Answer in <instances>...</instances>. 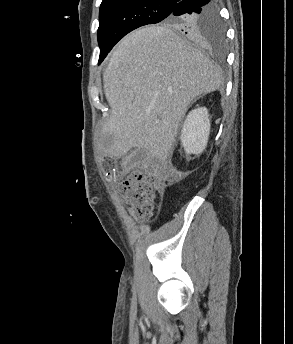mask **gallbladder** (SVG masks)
Listing matches in <instances>:
<instances>
[{
	"label": "gallbladder",
	"mask_w": 293,
	"mask_h": 344,
	"mask_svg": "<svg viewBox=\"0 0 293 344\" xmlns=\"http://www.w3.org/2000/svg\"><path fill=\"white\" fill-rule=\"evenodd\" d=\"M109 141H111V136L106 135V136L104 137V144H107Z\"/></svg>",
	"instance_id": "1"
}]
</instances>
